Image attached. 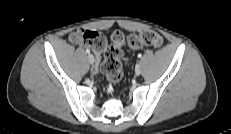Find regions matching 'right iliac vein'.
Wrapping results in <instances>:
<instances>
[{
	"instance_id": "1",
	"label": "right iliac vein",
	"mask_w": 231,
	"mask_h": 134,
	"mask_svg": "<svg viewBox=\"0 0 231 134\" xmlns=\"http://www.w3.org/2000/svg\"><path fill=\"white\" fill-rule=\"evenodd\" d=\"M88 61H89L90 64L94 63V56L92 54L88 55Z\"/></svg>"
}]
</instances>
